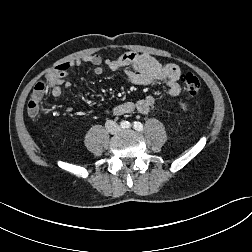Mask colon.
Instances as JSON below:
<instances>
[{
	"instance_id": "obj_1",
	"label": "colon",
	"mask_w": 252,
	"mask_h": 252,
	"mask_svg": "<svg viewBox=\"0 0 252 252\" xmlns=\"http://www.w3.org/2000/svg\"><path fill=\"white\" fill-rule=\"evenodd\" d=\"M60 70L61 67H58L56 71L51 72L52 79L54 81L58 79ZM180 80L184 84L185 89L190 95H196L201 90V81L194 73H183L180 76ZM47 86H49L48 80H46V83L38 82L34 86L31 99L29 100L27 105V113L30 117H37L43 112L42 100L45 95Z\"/></svg>"
}]
</instances>
